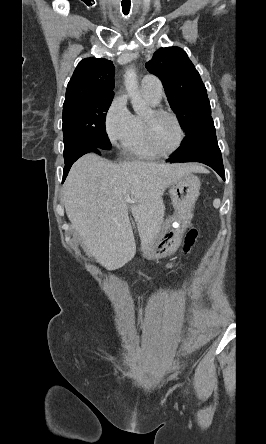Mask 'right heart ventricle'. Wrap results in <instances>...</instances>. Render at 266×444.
Masks as SVG:
<instances>
[{
	"instance_id": "e07e8e85",
	"label": "right heart ventricle",
	"mask_w": 266,
	"mask_h": 444,
	"mask_svg": "<svg viewBox=\"0 0 266 444\" xmlns=\"http://www.w3.org/2000/svg\"><path fill=\"white\" fill-rule=\"evenodd\" d=\"M144 97L152 106L158 104V102L153 101L151 98L145 95ZM143 118L144 116L138 114L131 115L128 131L122 142V152L125 156L133 159H157L160 155L154 152L146 141Z\"/></svg>"
}]
</instances>
